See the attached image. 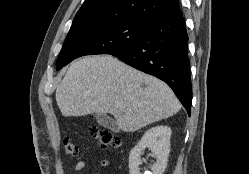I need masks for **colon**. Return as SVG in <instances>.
<instances>
[{
    "instance_id": "1",
    "label": "colon",
    "mask_w": 249,
    "mask_h": 174,
    "mask_svg": "<svg viewBox=\"0 0 249 174\" xmlns=\"http://www.w3.org/2000/svg\"><path fill=\"white\" fill-rule=\"evenodd\" d=\"M89 133L102 148H118L121 145V138L109 130L92 127ZM63 148L66 155L75 156L78 154L77 145L69 137L63 139Z\"/></svg>"
}]
</instances>
